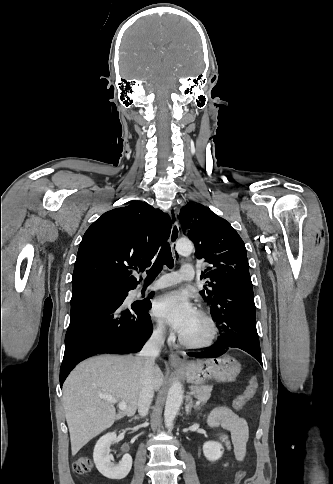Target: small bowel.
Instances as JSON below:
<instances>
[{
  "mask_svg": "<svg viewBox=\"0 0 333 484\" xmlns=\"http://www.w3.org/2000/svg\"><path fill=\"white\" fill-rule=\"evenodd\" d=\"M208 424L210 427H221L229 433L221 435L219 440L228 450L233 451L238 461H243L249 437L247 421L230 408L221 406L211 411Z\"/></svg>",
  "mask_w": 333,
  "mask_h": 484,
  "instance_id": "1",
  "label": "small bowel"
}]
</instances>
